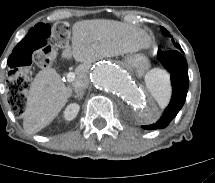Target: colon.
<instances>
[{
    "label": "colon",
    "mask_w": 215,
    "mask_h": 183,
    "mask_svg": "<svg viewBox=\"0 0 215 183\" xmlns=\"http://www.w3.org/2000/svg\"><path fill=\"white\" fill-rule=\"evenodd\" d=\"M68 36L69 28L66 23L58 22L51 26L45 21H38L34 24L32 32L21 43L12 47L5 64L9 67L8 100L14 112L22 113L26 108V94L30 86L27 67L33 63L40 67L52 65L57 59V54L48 40L64 43Z\"/></svg>",
    "instance_id": "5ec220e1"
}]
</instances>
